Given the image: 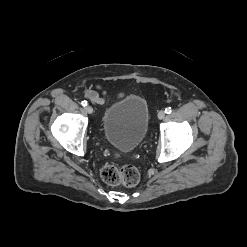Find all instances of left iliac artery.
I'll use <instances>...</instances> for the list:
<instances>
[{"label": "left iliac artery", "instance_id": "obj_1", "mask_svg": "<svg viewBox=\"0 0 247 247\" xmlns=\"http://www.w3.org/2000/svg\"><path fill=\"white\" fill-rule=\"evenodd\" d=\"M171 112H172L171 107H167V108L165 109V113H166V114H170Z\"/></svg>", "mask_w": 247, "mask_h": 247}]
</instances>
